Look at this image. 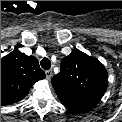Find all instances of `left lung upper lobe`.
I'll return each mask as SVG.
<instances>
[{"label": "left lung upper lobe", "mask_w": 122, "mask_h": 122, "mask_svg": "<svg viewBox=\"0 0 122 122\" xmlns=\"http://www.w3.org/2000/svg\"><path fill=\"white\" fill-rule=\"evenodd\" d=\"M51 82L61 103L82 113L99 103L108 86V74L98 59L76 49L62 60L60 72Z\"/></svg>", "instance_id": "5c2ea615"}]
</instances>
